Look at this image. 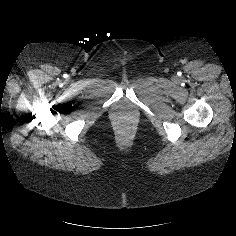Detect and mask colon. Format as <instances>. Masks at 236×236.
Returning <instances> with one entry per match:
<instances>
[{
    "label": "colon",
    "mask_w": 236,
    "mask_h": 236,
    "mask_svg": "<svg viewBox=\"0 0 236 236\" xmlns=\"http://www.w3.org/2000/svg\"><path fill=\"white\" fill-rule=\"evenodd\" d=\"M129 129H130V126L127 125V124H125V125L123 126V130H124V131H128Z\"/></svg>",
    "instance_id": "1"
}]
</instances>
